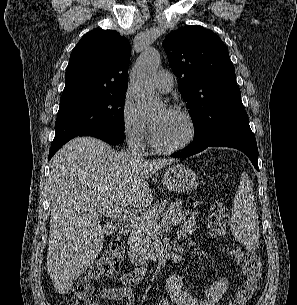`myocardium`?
<instances>
[{
    "instance_id": "myocardium-1",
    "label": "myocardium",
    "mask_w": 297,
    "mask_h": 305,
    "mask_svg": "<svg viewBox=\"0 0 297 305\" xmlns=\"http://www.w3.org/2000/svg\"><path fill=\"white\" fill-rule=\"evenodd\" d=\"M168 111H170L174 114L180 115L181 117H183L185 119V121L187 122V125H188V135L182 142H180L176 145H173V146L164 147V146L159 145L155 141V138L153 135V130L151 128L150 145L156 152L161 153V154H173V153H176V152H179V151L185 149L193 142V140L196 137V133H197L196 122L194 120V117L192 116V114L189 111H187L183 108H180V107H171L168 109Z\"/></svg>"
}]
</instances>
